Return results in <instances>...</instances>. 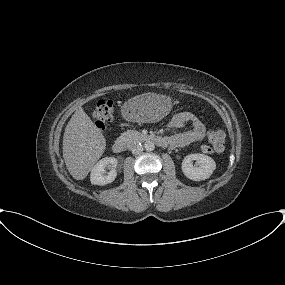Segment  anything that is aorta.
<instances>
[{"instance_id": "1", "label": "aorta", "mask_w": 285, "mask_h": 285, "mask_svg": "<svg viewBox=\"0 0 285 285\" xmlns=\"http://www.w3.org/2000/svg\"><path fill=\"white\" fill-rule=\"evenodd\" d=\"M144 148L146 151H153L155 149V144L152 141H146L144 144Z\"/></svg>"}]
</instances>
